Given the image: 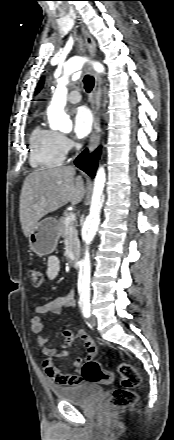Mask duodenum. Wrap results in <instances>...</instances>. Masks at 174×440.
I'll return each mask as SVG.
<instances>
[{"label": "duodenum", "mask_w": 174, "mask_h": 440, "mask_svg": "<svg viewBox=\"0 0 174 440\" xmlns=\"http://www.w3.org/2000/svg\"><path fill=\"white\" fill-rule=\"evenodd\" d=\"M80 261V252L79 250L74 251L72 258H71V264L73 267H77L79 265Z\"/></svg>", "instance_id": "duodenum-1"}]
</instances>
